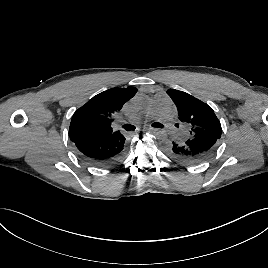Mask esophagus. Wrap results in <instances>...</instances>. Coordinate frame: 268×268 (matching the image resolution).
Wrapping results in <instances>:
<instances>
[{
    "instance_id": "34e87169",
    "label": "esophagus",
    "mask_w": 268,
    "mask_h": 268,
    "mask_svg": "<svg viewBox=\"0 0 268 268\" xmlns=\"http://www.w3.org/2000/svg\"><path fill=\"white\" fill-rule=\"evenodd\" d=\"M149 130L154 132V131H157V128L150 127Z\"/></svg>"
}]
</instances>
